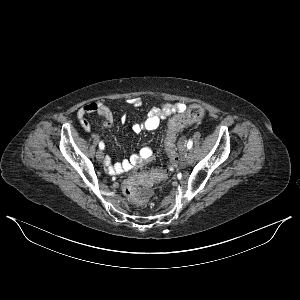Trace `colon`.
<instances>
[{
    "label": "colon",
    "mask_w": 300,
    "mask_h": 300,
    "mask_svg": "<svg viewBox=\"0 0 300 300\" xmlns=\"http://www.w3.org/2000/svg\"><path fill=\"white\" fill-rule=\"evenodd\" d=\"M204 115V107L194 104L173 117L168 133L164 139V146L170 156L171 164L170 166H165L163 170L160 169L156 172L143 173L125 182L124 192L133 203L139 205L143 204L147 200L150 195V189L148 186L150 181L156 183L161 179H168L172 177L177 160V152L175 149L177 132L185 126L201 119Z\"/></svg>",
    "instance_id": "colon-1"
}]
</instances>
